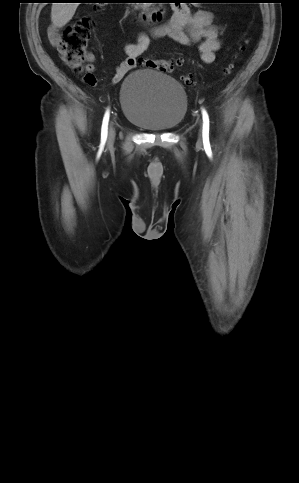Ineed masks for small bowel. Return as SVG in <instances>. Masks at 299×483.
I'll use <instances>...</instances> for the list:
<instances>
[{
  "instance_id": "1",
  "label": "small bowel",
  "mask_w": 299,
  "mask_h": 483,
  "mask_svg": "<svg viewBox=\"0 0 299 483\" xmlns=\"http://www.w3.org/2000/svg\"><path fill=\"white\" fill-rule=\"evenodd\" d=\"M222 29L214 23V15L207 10L192 11L187 4H175L171 19L161 25L153 26L148 33H140L134 43L124 46L126 59L117 65L112 82H120L132 69L137 66L138 58L148 49L151 38H169L185 46L199 43L200 58L205 64H212L216 53L221 48ZM49 40L58 45L60 35L55 27L48 31ZM87 71L94 74L93 56H88Z\"/></svg>"
}]
</instances>
